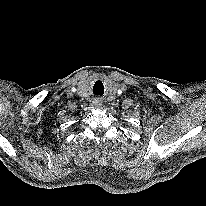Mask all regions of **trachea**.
<instances>
[{
	"label": "trachea",
	"mask_w": 206,
	"mask_h": 206,
	"mask_svg": "<svg viewBox=\"0 0 206 206\" xmlns=\"http://www.w3.org/2000/svg\"><path fill=\"white\" fill-rule=\"evenodd\" d=\"M93 93L95 94V95H102L103 93H104V88H103V91L102 90H96L94 87H93Z\"/></svg>",
	"instance_id": "3493384b"
}]
</instances>
